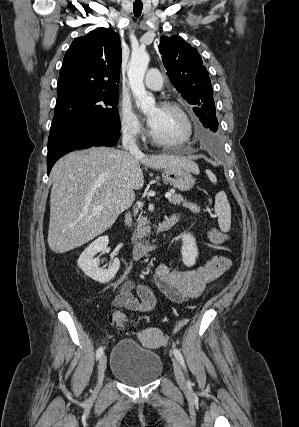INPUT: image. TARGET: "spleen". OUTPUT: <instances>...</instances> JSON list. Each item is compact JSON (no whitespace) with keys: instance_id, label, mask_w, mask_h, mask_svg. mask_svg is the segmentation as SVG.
<instances>
[{"instance_id":"obj_1","label":"spleen","mask_w":299,"mask_h":427,"mask_svg":"<svg viewBox=\"0 0 299 427\" xmlns=\"http://www.w3.org/2000/svg\"><path fill=\"white\" fill-rule=\"evenodd\" d=\"M209 180L217 183V178L210 170L205 171ZM215 213L218 217V223L221 231L228 232L231 225V207L224 191H220L215 196Z\"/></svg>"}]
</instances>
